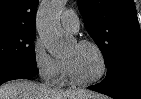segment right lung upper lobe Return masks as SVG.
Returning <instances> with one entry per match:
<instances>
[{
	"label": "right lung upper lobe",
	"instance_id": "right-lung-upper-lobe-1",
	"mask_svg": "<svg viewBox=\"0 0 141 99\" xmlns=\"http://www.w3.org/2000/svg\"><path fill=\"white\" fill-rule=\"evenodd\" d=\"M38 0H0V27L35 28Z\"/></svg>",
	"mask_w": 141,
	"mask_h": 99
}]
</instances>
